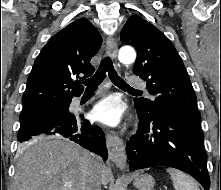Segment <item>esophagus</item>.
Segmentation results:
<instances>
[{
    "instance_id": "obj_1",
    "label": "esophagus",
    "mask_w": 221,
    "mask_h": 190,
    "mask_svg": "<svg viewBox=\"0 0 221 190\" xmlns=\"http://www.w3.org/2000/svg\"><path fill=\"white\" fill-rule=\"evenodd\" d=\"M106 51L109 56L116 61L117 57V42L114 36H109L106 40ZM109 158L120 169L126 166V153L122 139L114 132H108L106 135Z\"/></svg>"
}]
</instances>
